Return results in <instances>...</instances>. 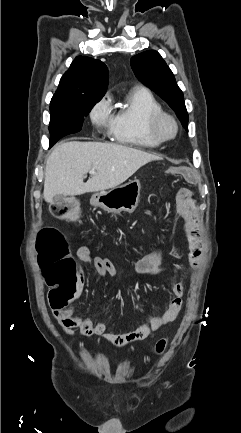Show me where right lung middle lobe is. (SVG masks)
<instances>
[{
    "mask_svg": "<svg viewBox=\"0 0 241 433\" xmlns=\"http://www.w3.org/2000/svg\"><path fill=\"white\" fill-rule=\"evenodd\" d=\"M99 100L57 101L50 103V147L60 138L79 132L84 117Z\"/></svg>",
    "mask_w": 241,
    "mask_h": 433,
    "instance_id": "1",
    "label": "right lung middle lobe"
}]
</instances>
